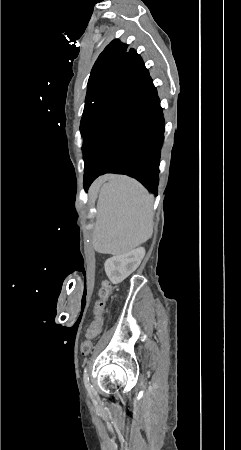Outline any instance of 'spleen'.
<instances>
[{
  "label": "spleen",
  "instance_id": "1",
  "mask_svg": "<svg viewBox=\"0 0 241 450\" xmlns=\"http://www.w3.org/2000/svg\"><path fill=\"white\" fill-rule=\"evenodd\" d=\"M153 194L133 178L112 176L103 184L93 229L92 248L96 253L123 256L153 234Z\"/></svg>",
  "mask_w": 241,
  "mask_h": 450
}]
</instances>
